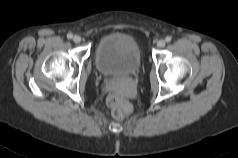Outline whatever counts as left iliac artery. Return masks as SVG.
Segmentation results:
<instances>
[{"instance_id":"left-iliac-artery-1","label":"left iliac artery","mask_w":238,"mask_h":158,"mask_svg":"<svg viewBox=\"0 0 238 158\" xmlns=\"http://www.w3.org/2000/svg\"><path fill=\"white\" fill-rule=\"evenodd\" d=\"M171 39H172V38H171L170 36H167V37L165 38L166 42H170Z\"/></svg>"}]
</instances>
